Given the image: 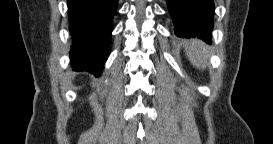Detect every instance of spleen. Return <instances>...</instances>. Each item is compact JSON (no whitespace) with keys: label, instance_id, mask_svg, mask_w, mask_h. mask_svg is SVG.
<instances>
[{"label":"spleen","instance_id":"1","mask_svg":"<svg viewBox=\"0 0 273 144\" xmlns=\"http://www.w3.org/2000/svg\"><path fill=\"white\" fill-rule=\"evenodd\" d=\"M187 57L192 63L193 66L197 68H205V64L207 63V50L206 46L197 40H194L188 46L186 51Z\"/></svg>","mask_w":273,"mask_h":144}]
</instances>
